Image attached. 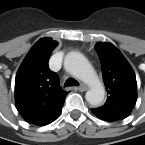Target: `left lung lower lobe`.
<instances>
[{"label": "left lung lower lobe", "mask_w": 145, "mask_h": 145, "mask_svg": "<svg viewBox=\"0 0 145 145\" xmlns=\"http://www.w3.org/2000/svg\"><path fill=\"white\" fill-rule=\"evenodd\" d=\"M97 116V115H96ZM99 117V116H98ZM101 119H103V120H106V121H111V120H109V119H106V118H103V117H100Z\"/></svg>", "instance_id": "0a47b994"}]
</instances>
